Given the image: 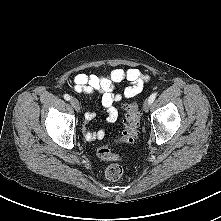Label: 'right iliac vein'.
I'll list each match as a JSON object with an SVG mask.
<instances>
[{
    "instance_id": "right-iliac-vein-1",
    "label": "right iliac vein",
    "mask_w": 221,
    "mask_h": 221,
    "mask_svg": "<svg viewBox=\"0 0 221 221\" xmlns=\"http://www.w3.org/2000/svg\"><path fill=\"white\" fill-rule=\"evenodd\" d=\"M70 104L73 106V108L77 111L80 112L81 111V107L79 104V101L76 98H71L70 99Z\"/></svg>"
}]
</instances>
